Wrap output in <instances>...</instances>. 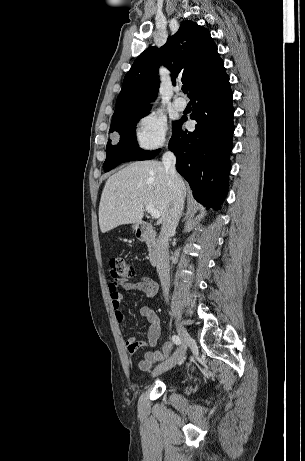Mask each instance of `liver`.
<instances>
[{
    "label": "liver",
    "mask_w": 305,
    "mask_h": 461,
    "mask_svg": "<svg viewBox=\"0 0 305 461\" xmlns=\"http://www.w3.org/2000/svg\"><path fill=\"white\" fill-rule=\"evenodd\" d=\"M182 193L186 196L185 184ZM170 190L163 163L150 160L129 164L108 178L99 205V225L106 233L123 224H139L144 207L151 204L160 212L163 223L169 208Z\"/></svg>",
    "instance_id": "liver-1"
}]
</instances>
